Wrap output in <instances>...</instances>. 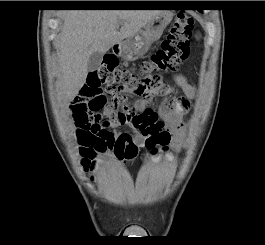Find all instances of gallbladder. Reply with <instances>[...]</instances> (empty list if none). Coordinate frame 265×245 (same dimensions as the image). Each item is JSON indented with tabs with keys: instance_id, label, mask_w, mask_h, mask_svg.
<instances>
[{
	"instance_id": "bac80fb5",
	"label": "gallbladder",
	"mask_w": 265,
	"mask_h": 245,
	"mask_svg": "<svg viewBox=\"0 0 265 245\" xmlns=\"http://www.w3.org/2000/svg\"><path fill=\"white\" fill-rule=\"evenodd\" d=\"M102 59H103V53L93 52L88 59L87 63L88 71L93 72L97 70L101 65Z\"/></svg>"
}]
</instances>
